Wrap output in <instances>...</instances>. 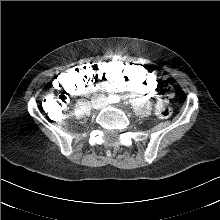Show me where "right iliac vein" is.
Instances as JSON below:
<instances>
[{
  "instance_id": "1",
  "label": "right iliac vein",
  "mask_w": 220,
  "mask_h": 220,
  "mask_svg": "<svg viewBox=\"0 0 220 220\" xmlns=\"http://www.w3.org/2000/svg\"><path fill=\"white\" fill-rule=\"evenodd\" d=\"M92 105H93V107H94L95 109H99V103H98V102L94 101V102L92 103Z\"/></svg>"
}]
</instances>
